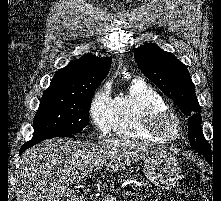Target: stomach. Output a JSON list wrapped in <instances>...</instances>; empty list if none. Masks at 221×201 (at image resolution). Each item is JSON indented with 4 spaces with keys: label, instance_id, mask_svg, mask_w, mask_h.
I'll use <instances>...</instances> for the list:
<instances>
[{
    "label": "stomach",
    "instance_id": "1",
    "mask_svg": "<svg viewBox=\"0 0 221 201\" xmlns=\"http://www.w3.org/2000/svg\"><path fill=\"white\" fill-rule=\"evenodd\" d=\"M147 179L161 189L173 188L181 176L180 165L168 150L150 154L144 161Z\"/></svg>",
    "mask_w": 221,
    "mask_h": 201
}]
</instances>
